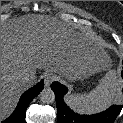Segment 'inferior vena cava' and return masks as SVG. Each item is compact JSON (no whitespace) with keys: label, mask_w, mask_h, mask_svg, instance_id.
<instances>
[{"label":"inferior vena cava","mask_w":123,"mask_h":123,"mask_svg":"<svg viewBox=\"0 0 123 123\" xmlns=\"http://www.w3.org/2000/svg\"><path fill=\"white\" fill-rule=\"evenodd\" d=\"M22 79L25 80V81H29L31 79V75L28 73V72H24L22 75H21Z\"/></svg>","instance_id":"inferior-vena-cava-1"}]
</instances>
